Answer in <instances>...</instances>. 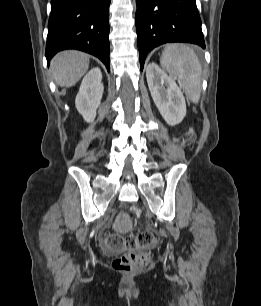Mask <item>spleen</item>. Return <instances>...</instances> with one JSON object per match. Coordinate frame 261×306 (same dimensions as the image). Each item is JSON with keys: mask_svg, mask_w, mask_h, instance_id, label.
Wrapping results in <instances>:
<instances>
[{"mask_svg": "<svg viewBox=\"0 0 261 306\" xmlns=\"http://www.w3.org/2000/svg\"><path fill=\"white\" fill-rule=\"evenodd\" d=\"M160 63L165 71L178 79L188 99L198 103L202 67L195 52L187 45L171 44L162 52Z\"/></svg>", "mask_w": 261, "mask_h": 306, "instance_id": "spleen-1", "label": "spleen"}]
</instances>
